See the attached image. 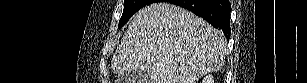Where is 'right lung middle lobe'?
I'll list each match as a JSON object with an SVG mask.
<instances>
[{"instance_id":"dd1d6c3e","label":"right lung middle lobe","mask_w":307,"mask_h":83,"mask_svg":"<svg viewBox=\"0 0 307 83\" xmlns=\"http://www.w3.org/2000/svg\"><path fill=\"white\" fill-rule=\"evenodd\" d=\"M154 0H124V10L119 21V29L128 21V19L142 7L153 3Z\"/></svg>"}]
</instances>
